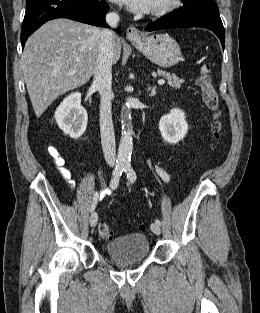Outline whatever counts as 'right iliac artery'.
Here are the masks:
<instances>
[{"mask_svg": "<svg viewBox=\"0 0 260 313\" xmlns=\"http://www.w3.org/2000/svg\"><path fill=\"white\" fill-rule=\"evenodd\" d=\"M124 169H125L124 165H122V164L116 165L115 170L113 171V176H112L111 182H110L111 189L117 188V186L119 184V179H120ZM97 198H98V193L96 192L94 195L93 203L90 207L91 212H93L95 207H96Z\"/></svg>", "mask_w": 260, "mask_h": 313, "instance_id": "1", "label": "right iliac artery"}]
</instances>
